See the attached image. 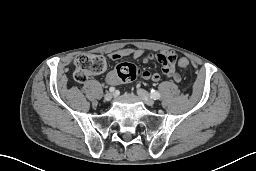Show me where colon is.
Instances as JSON below:
<instances>
[{"mask_svg": "<svg viewBox=\"0 0 256 171\" xmlns=\"http://www.w3.org/2000/svg\"><path fill=\"white\" fill-rule=\"evenodd\" d=\"M170 61H175L170 59ZM74 65V79L82 83L87 80L90 75L103 73L107 68V63L104 57L93 54H81L75 57ZM178 65L182 68L187 67L188 61L186 59H179ZM118 79L124 82H130L142 76L141 69L132 63H121L115 69Z\"/></svg>", "mask_w": 256, "mask_h": 171, "instance_id": "1", "label": "colon"}]
</instances>
